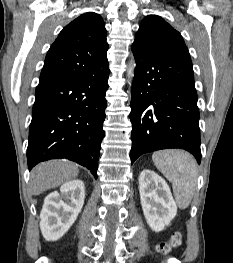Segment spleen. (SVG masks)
<instances>
[{
  "label": "spleen",
  "instance_id": "spleen-1",
  "mask_svg": "<svg viewBox=\"0 0 233 263\" xmlns=\"http://www.w3.org/2000/svg\"><path fill=\"white\" fill-rule=\"evenodd\" d=\"M152 160L156 168L172 183L179 208H187L197 184L198 169L194 157L183 150H163L155 152Z\"/></svg>",
  "mask_w": 233,
  "mask_h": 263
}]
</instances>
